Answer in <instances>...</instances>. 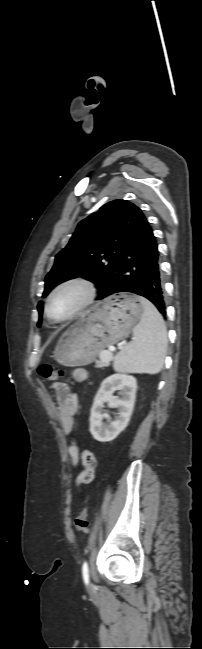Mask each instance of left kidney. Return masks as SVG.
Wrapping results in <instances>:
<instances>
[{"instance_id": "left-kidney-1", "label": "left kidney", "mask_w": 202, "mask_h": 649, "mask_svg": "<svg viewBox=\"0 0 202 649\" xmlns=\"http://www.w3.org/2000/svg\"><path fill=\"white\" fill-rule=\"evenodd\" d=\"M136 389L137 380L134 376L117 373L103 380L94 398L90 415V432L96 440L112 441L126 428L133 412ZM115 391H119L122 398H116L113 395ZM104 403L118 409V416L113 421L108 418V425L103 422L106 418Z\"/></svg>"}]
</instances>
